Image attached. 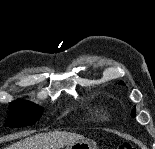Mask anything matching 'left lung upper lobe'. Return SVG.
Masks as SVG:
<instances>
[{"mask_svg": "<svg viewBox=\"0 0 155 149\" xmlns=\"http://www.w3.org/2000/svg\"><path fill=\"white\" fill-rule=\"evenodd\" d=\"M119 84L125 85L124 82H122V81H120ZM131 116H132V117H135V110L132 111Z\"/></svg>", "mask_w": 155, "mask_h": 149, "instance_id": "obj_1", "label": "left lung upper lobe"}]
</instances>
